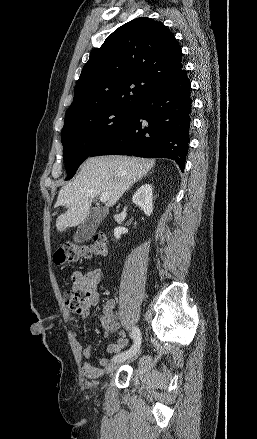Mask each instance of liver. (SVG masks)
<instances>
[{
	"instance_id": "1",
	"label": "liver",
	"mask_w": 257,
	"mask_h": 439,
	"mask_svg": "<svg viewBox=\"0 0 257 439\" xmlns=\"http://www.w3.org/2000/svg\"><path fill=\"white\" fill-rule=\"evenodd\" d=\"M154 164V160L127 156L88 158L76 178L59 191L55 207L65 206L67 211L57 218V230L63 232L83 223L90 213L93 198L102 193L110 196L107 207L115 205Z\"/></svg>"
}]
</instances>
